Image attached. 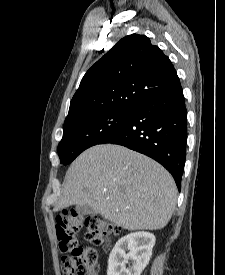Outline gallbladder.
Instances as JSON below:
<instances>
[{"mask_svg": "<svg viewBox=\"0 0 225 275\" xmlns=\"http://www.w3.org/2000/svg\"><path fill=\"white\" fill-rule=\"evenodd\" d=\"M75 210L77 211V213L82 214V215L93 213V210L90 207H88L87 205H82V204L76 205Z\"/></svg>", "mask_w": 225, "mask_h": 275, "instance_id": "obj_1", "label": "gallbladder"}]
</instances>
